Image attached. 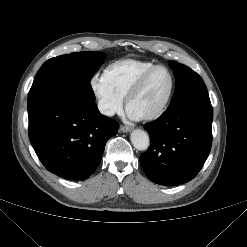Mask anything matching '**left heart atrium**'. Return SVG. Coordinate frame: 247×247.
I'll return each instance as SVG.
<instances>
[{
	"mask_svg": "<svg viewBox=\"0 0 247 247\" xmlns=\"http://www.w3.org/2000/svg\"><path fill=\"white\" fill-rule=\"evenodd\" d=\"M128 115H129V117L132 118V119H138V118H139V114L133 112L132 110H129V111H128Z\"/></svg>",
	"mask_w": 247,
	"mask_h": 247,
	"instance_id": "left-heart-atrium-1",
	"label": "left heart atrium"
}]
</instances>
